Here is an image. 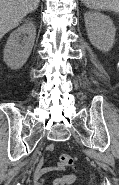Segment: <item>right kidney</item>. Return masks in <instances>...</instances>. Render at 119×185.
<instances>
[{
    "mask_svg": "<svg viewBox=\"0 0 119 185\" xmlns=\"http://www.w3.org/2000/svg\"><path fill=\"white\" fill-rule=\"evenodd\" d=\"M35 37L36 27L30 21L10 34L3 56L8 67L19 69L26 63L31 54Z\"/></svg>",
    "mask_w": 119,
    "mask_h": 185,
    "instance_id": "obj_1",
    "label": "right kidney"
}]
</instances>
